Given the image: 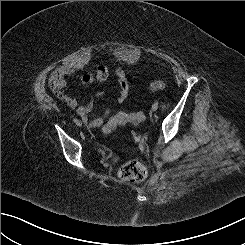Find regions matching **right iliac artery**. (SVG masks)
Here are the masks:
<instances>
[{
  "instance_id": "right-iliac-artery-1",
  "label": "right iliac artery",
  "mask_w": 245,
  "mask_h": 245,
  "mask_svg": "<svg viewBox=\"0 0 245 245\" xmlns=\"http://www.w3.org/2000/svg\"><path fill=\"white\" fill-rule=\"evenodd\" d=\"M76 124H77V122L79 121L77 118H74V120H73Z\"/></svg>"
}]
</instances>
